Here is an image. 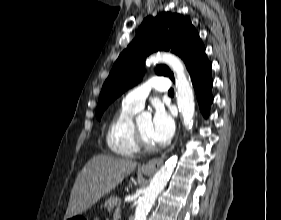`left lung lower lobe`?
Returning a JSON list of instances; mask_svg holds the SVG:
<instances>
[{"instance_id":"left-lung-lower-lobe-1","label":"left lung lower lobe","mask_w":281,"mask_h":220,"mask_svg":"<svg viewBox=\"0 0 281 220\" xmlns=\"http://www.w3.org/2000/svg\"><path fill=\"white\" fill-rule=\"evenodd\" d=\"M196 97L202 114L207 117L209 108L213 102L211 94L213 80L211 78L212 64L208 61L205 53L193 58L187 65Z\"/></svg>"}]
</instances>
